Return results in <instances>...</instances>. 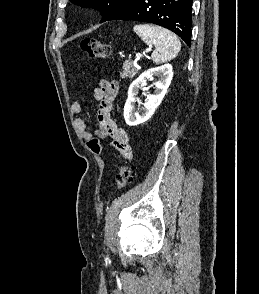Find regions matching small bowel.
<instances>
[{
    "label": "small bowel",
    "instance_id": "1",
    "mask_svg": "<svg viewBox=\"0 0 259 294\" xmlns=\"http://www.w3.org/2000/svg\"><path fill=\"white\" fill-rule=\"evenodd\" d=\"M119 85L117 82L101 81L99 86L94 89L93 97L98 102L97 124L98 129L91 132L85 120L76 118L74 128L76 132L87 142L90 149L100 154L101 145L99 138L109 137L112 139V145L121 153V155L130 159L132 152L129 146V136L127 132L118 126L111 118V112L114 107V101L118 94ZM82 107L79 102L71 104L70 111L72 115H79Z\"/></svg>",
    "mask_w": 259,
    "mask_h": 294
}]
</instances>
